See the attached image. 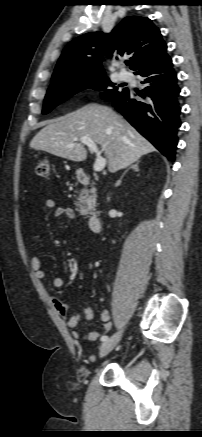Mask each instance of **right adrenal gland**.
<instances>
[{
  "label": "right adrenal gland",
  "mask_w": 202,
  "mask_h": 437,
  "mask_svg": "<svg viewBox=\"0 0 202 437\" xmlns=\"http://www.w3.org/2000/svg\"><path fill=\"white\" fill-rule=\"evenodd\" d=\"M138 165H139V161H137L135 164H133L132 166H130V167H129V168H128L124 173H123V175L121 176V178L116 182L115 186H119V185L121 184L124 175L126 174V172H127L129 169H133L135 172H138V171H139V167H138Z\"/></svg>",
  "instance_id": "right-adrenal-gland-1"
}]
</instances>
